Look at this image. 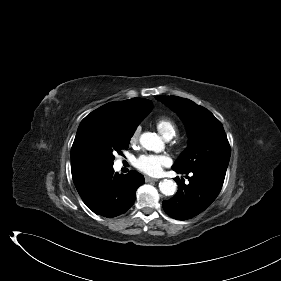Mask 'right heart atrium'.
I'll return each instance as SVG.
<instances>
[{"label": "right heart atrium", "instance_id": "d8ad5b80", "mask_svg": "<svg viewBox=\"0 0 281 281\" xmlns=\"http://www.w3.org/2000/svg\"><path fill=\"white\" fill-rule=\"evenodd\" d=\"M140 127H137L131 135L130 142L132 144L136 143L139 137Z\"/></svg>", "mask_w": 281, "mask_h": 281}]
</instances>
